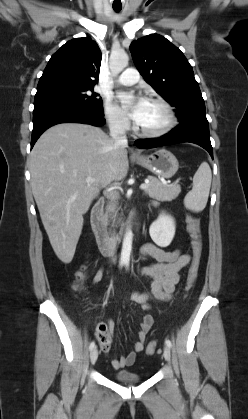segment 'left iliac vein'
Masks as SVG:
<instances>
[{
    "label": "left iliac vein",
    "instance_id": "obj_1",
    "mask_svg": "<svg viewBox=\"0 0 248 419\" xmlns=\"http://www.w3.org/2000/svg\"><path fill=\"white\" fill-rule=\"evenodd\" d=\"M163 356H164V358H165V360L167 362H170V360H171V352H170V349H169L168 346H164Z\"/></svg>",
    "mask_w": 248,
    "mask_h": 419
}]
</instances>
